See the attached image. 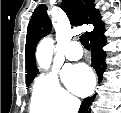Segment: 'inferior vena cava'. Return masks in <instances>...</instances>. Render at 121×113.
Masks as SVG:
<instances>
[{
    "instance_id": "602c4592",
    "label": "inferior vena cava",
    "mask_w": 121,
    "mask_h": 113,
    "mask_svg": "<svg viewBox=\"0 0 121 113\" xmlns=\"http://www.w3.org/2000/svg\"><path fill=\"white\" fill-rule=\"evenodd\" d=\"M80 107V101L79 100H75L71 106V111L70 113H77Z\"/></svg>"
}]
</instances>
